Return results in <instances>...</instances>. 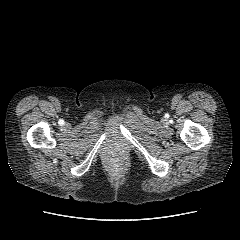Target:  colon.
<instances>
[{
    "label": "colon",
    "mask_w": 240,
    "mask_h": 240,
    "mask_svg": "<svg viewBox=\"0 0 240 240\" xmlns=\"http://www.w3.org/2000/svg\"><path fill=\"white\" fill-rule=\"evenodd\" d=\"M108 165L112 169H121L125 167L126 160L122 156H116L108 163Z\"/></svg>",
    "instance_id": "1"
}]
</instances>
